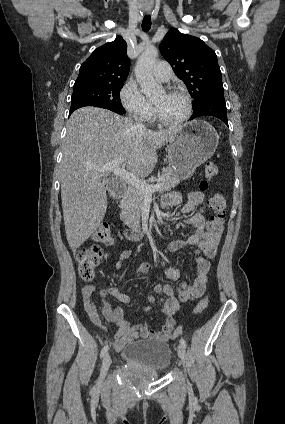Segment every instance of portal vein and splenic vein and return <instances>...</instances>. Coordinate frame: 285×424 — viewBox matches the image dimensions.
I'll return each instance as SVG.
<instances>
[{
	"mask_svg": "<svg viewBox=\"0 0 285 424\" xmlns=\"http://www.w3.org/2000/svg\"><path fill=\"white\" fill-rule=\"evenodd\" d=\"M123 161L124 159H119L95 170L102 173H113L116 177L124 180L129 186L140 190L146 197H151L154 192L162 188L161 184L149 185L146 181L138 178L125 168L119 167Z\"/></svg>",
	"mask_w": 285,
	"mask_h": 424,
	"instance_id": "portal-vein-and-splenic-vein-1",
	"label": "portal vein and splenic vein"
}]
</instances>
